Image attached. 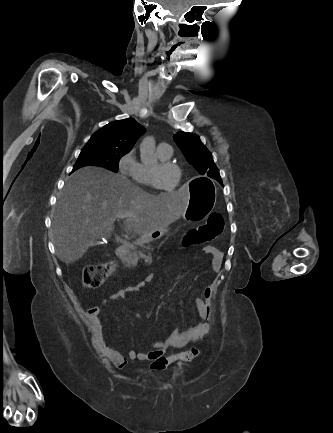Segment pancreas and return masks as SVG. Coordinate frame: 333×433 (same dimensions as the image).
<instances>
[{
  "mask_svg": "<svg viewBox=\"0 0 333 433\" xmlns=\"http://www.w3.org/2000/svg\"><path fill=\"white\" fill-rule=\"evenodd\" d=\"M151 237L146 236L145 238L138 239L134 244H128L126 246L127 252L130 249L131 252L124 258L129 265H136L139 259H145L146 255L143 250H150Z\"/></svg>",
  "mask_w": 333,
  "mask_h": 433,
  "instance_id": "1",
  "label": "pancreas"
}]
</instances>
